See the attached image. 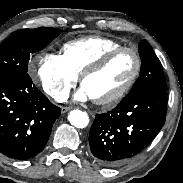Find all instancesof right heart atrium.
<instances>
[{"instance_id":"obj_1","label":"right heart atrium","mask_w":183,"mask_h":183,"mask_svg":"<svg viewBox=\"0 0 183 183\" xmlns=\"http://www.w3.org/2000/svg\"><path fill=\"white\" fill-rule=\"evenodd\" d=\"M37 76L45 93L64 101L76 85L78 76L68 67L63 55L41 52L36 56Z\"/></svg>"}]
</instances>
